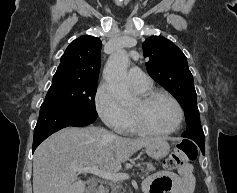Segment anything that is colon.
I'll list each match as a JSON object with an SVG mask.
<instances>
[{"instance_id":"5ec220e1","label":"colon","mask_w":237,"mask_h":193,"mask_svg":"<svg viewBox=\"0 0 237 193\" xmlns=\"http://www.w3.org/2000/svg\"><path fill=\"white\" fill-rule=\"evenodd\" d=\"M198 155L196 145L191 141H183L177 144L174 150L169 154L164 162V167L167 170H175L195 161Z\"/></svg>"}]
</instances>
